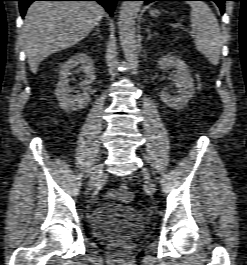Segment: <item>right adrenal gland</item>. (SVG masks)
Masks as SVG:
<instances>
[{
    "mask_svg": "<svg viewBox=\"0 0 247 265\" xmlns=\"http://www.w3.org/2000/svg\"><path fill=\"white\" fill-rule=\"evenodd\" d=\"M93 35H98V37L102 38V36L100 34V30H99V24H97V26H96V33H94Z\"/></svg>",
    "mask_w": 247,
    "mask_h": 265,
    "instance_id": "right-adrenal-gland-1",
    "label": "right adrenal gland"
}]
</instances>
